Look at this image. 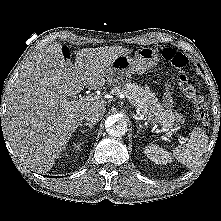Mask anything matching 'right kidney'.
Returning <instances> with one entry per match:
<instances>
[{"mask_svg": "<svg viewBox=\"0 0 221 221\" xmlns=\"http://www.w3.org/2000/svg\"><path fill=\"white\" fill-rule=\"evenodd\" d=\"M80 145H81V142L74 143L73 148L75 150H79L80 149Z\"/></svg>", "mask_w": 221, "mask_h": 221, "instance_id": "right-kidney-1", "label": "right kidney"}]
</instances>
